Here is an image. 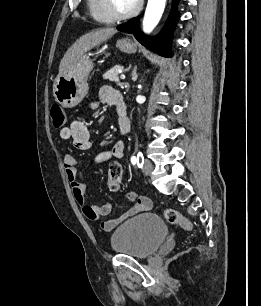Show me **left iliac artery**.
Wrapping results in <instances>:
<instances>
[{
	"label": "left iliac artery",
	"mask_w": 261,
	"mask_h": 306,
	"mask_svg": "<svg viewBox=\"0 0 261 306\" xmlns=\"http://www.w3.org/2000/svg\"><path fill=\"white\" fill-rule=\"evenodd\" d=\"M131 162H132V164H137V166L139 168H142V166L144 164L143 154L141 152H138L137 156H133L131 158Z\"/></svg>",
	"instance_id": "left-iliac-artery-1"
}]
</instances>
